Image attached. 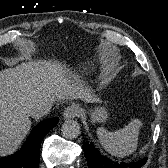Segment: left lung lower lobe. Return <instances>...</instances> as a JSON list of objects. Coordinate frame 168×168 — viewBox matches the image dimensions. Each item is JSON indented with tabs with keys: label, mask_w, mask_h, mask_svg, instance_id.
<instances>
[{
	"label": "left lung lower lobe",
	"mask_w": 168,
	"mask_h": 168,
	"mask_svg": "<svg viewBox=\"0 0 168 168\" xmlns=\"http://www.w3.org/2000/svg\"><path fill=\"white\" fill-rule=\"evenodd\" d=\"M84 155L89 168H141L147 161L144 157L133 162L116 163L103 156L92 143L84 142Z\"/></svg>",
	"instance_id": "obj_1"
}]
</instances>
